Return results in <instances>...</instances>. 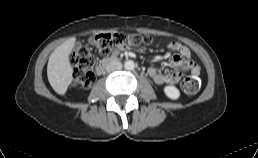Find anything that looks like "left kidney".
I'll use <instances>...</instances> for the list:
<instances>
[{
	"label": "left kidney",
	"mask_w": 258,
	"mask_h": 158,
	"mask_svg": "<svg viewBox=\"0 0 258 158\" xmlns=\"http://www.w3.org/2000/svg\"><path fill=\"white\" fill-rule=\"evenodd\" d=\"M164 93L168 98L172 100H176L180 96V91L173 85L165 86Z\"/></svg>",
	"instance_id": "5707ae66"
}]
</instances>
